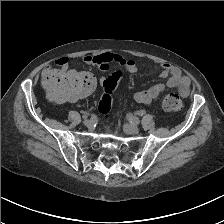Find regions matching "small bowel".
<instances>
[{
	"label": "small bowel",
	"instance_id": "c3829d8e",
	"mask_svg": "<svg viewBox=\"0 0 224 224\" xmlns=\"http://www.w3.org/2000/svg\"><path fill=\"white\" fill-rule=\"evenodd\" d=\"M83 62L87 65L97 67L102 70L108 69L112 64L124 68L129 73H135L138 70V64L135 60L125 58L121 55L106 52L97 55H86L83 57ZM69 60L67 57H60L56 60V64L66 70ZM153 70L158 71L160 77L167 79L166 83L155 84L148 89L138 91L133 98L137 103L150 104L164 91L166 87L176 88L182 97H187L190 93V80L184 76L181 71L170 64H154ZM53 69L46 67L43 71V80H46L52 75ZM104 79L102 80V82Z\"/></svg>",
	"mask_w": 224,
	"mask_h": 224
}]
</instances>
